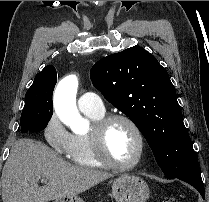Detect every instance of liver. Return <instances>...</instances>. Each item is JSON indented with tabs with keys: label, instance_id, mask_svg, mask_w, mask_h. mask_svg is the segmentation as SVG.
I'll return each instance as SVG.
<instances>
[{
	"label": "liver",
	"instance_id": "liver-1",
	"mask_svg": "<svg viewBox=\"0 0 209 202\" xmlns=\"http://www.w3.org/2000/svg\"><path fill=\"white\" fill-rule=\"evenodd\" d=\"M112 175L67 163L45 144L33 139L14 143L1 177L3 202H48L74 197ZM48 179L46 186L38 181Z\"/></svg>",
	"mask_w": 209,
	"mask_h": 202
}]
</instances>
